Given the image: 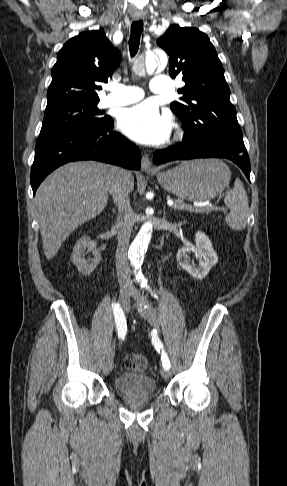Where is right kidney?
Returning a JSON list of instances; mask_svg holds the SVG:
<instances>
[{"mask_svg": "<svg viewBox=\"0 0 287 486\" xmlns=\"http://www.w3.org/2000/svg\"><path fill=\"white\" fill-rule=\"evenodd\" d=\"M86 248L93 252L94 259H85L84 255ZM71 259L81 274L88 275L93 272L99 264L101 254L92 246L91 238L89 236H83L77 241L75 247L73 248Z\"/></svg>", "mask_w": 287, "mask_h": 486, "instance_id": "ca27d5eb", "label": "right kidney"}]
</instances>
